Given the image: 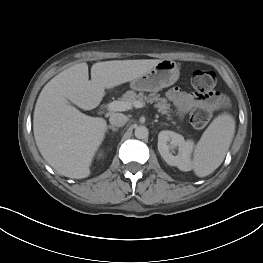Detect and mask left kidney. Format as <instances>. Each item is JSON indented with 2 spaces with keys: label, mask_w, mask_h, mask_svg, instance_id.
<instances>
[{
  "label": "left kidney",
  "mask_w": 263,
  "mask_h": 263,
  "mask_svg": "<svg viewBox=\"0 0 263 263\" xmlns=\"http://www.w3.org/2000/svg\"><path fill=\"white\" fill-rule=\"evenodd\" d=\"M158 151L162 158L171 166H176L182 171L191 170V154L194 148V142L185 140L178 133L169 130H163L158 135ZM178 148V154L173 155L172 150Z\"/></svg>",
  "instance_id": "1"
}]
</instances>
